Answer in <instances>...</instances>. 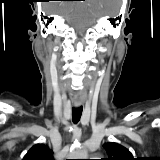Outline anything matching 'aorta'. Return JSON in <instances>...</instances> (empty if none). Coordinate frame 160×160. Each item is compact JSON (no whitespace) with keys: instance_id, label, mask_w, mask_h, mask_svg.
Returning <instances> with one entry per match:
<instances>
[{"instance_id":"obj_1","label":"aorta","mask_w":160,"mask_h":160,"mask_svg":"<svg viewBox=\"0 0 160 160\" xmlns=\"http://www.w3.org/2000/svg\"><path fill=\"white\" fill-rule=\"evenodd\" d=\"M69 159H87V151L83 148L73 147L70 151Z\"/></svg>"}]
</instances>
